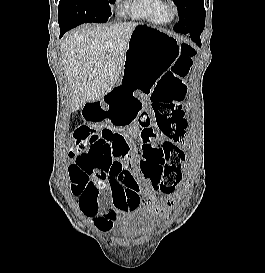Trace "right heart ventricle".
Instances as JSON below:
<instances>
[{
  "mask_svg": "<svg viewBox=\"0 0 265 273\" xmlns=\"http://www.w3.org/2000/svg\"><path fill=\"white\" fill-rule=\"evenodd\" d=\"M166 3V0H135L130 7V13L135 18L164 25L170 21L165 11Z\"/></svg>",
  "mask_w": 265,
  "mask_h": 273,
  "instance_id": "obj_1",
  "label": "right heart ventricle"
}]
</instances>
